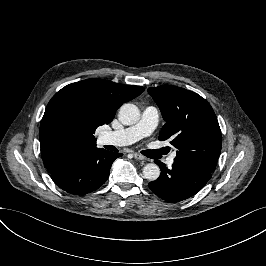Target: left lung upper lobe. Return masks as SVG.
<instances>
[{"instance_id": "5c2ea615", "label": "left lung upper lobe", "mask_w": 266, "mask_h": 266, "mask_svg": "<svg viewBox=\"0 0 266 266\" xmlns=\"http://www.w3.org/2000/svg\"><path fill=\"white\" fill-rule=\"evenodd\" d=\"M164 120L159 140L172 138L175 160L213 171L221 152V131L210 104L198 94L173 86L148 88Z\"/></svg>"}]
</instances>
